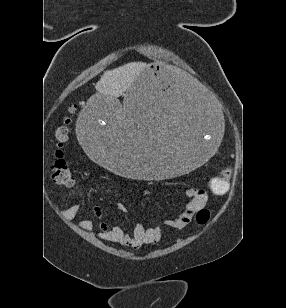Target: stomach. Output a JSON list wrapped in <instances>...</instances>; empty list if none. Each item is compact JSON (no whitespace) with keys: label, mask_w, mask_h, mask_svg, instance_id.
<instances>
[{"label":"stomach","mask_w":286,"mask_h":308,"mask_svg":"<svg viewBox=\"0 0 286 308\" xmlns=\"http://www.w3.org/2000/svg\"><path fill=\"white\" fill-rule=\"evenodd\" d=\"M209 91L182 81L161 60L147 66L127 89L124 103L91 93L78 109V142L86 156L129 182H167L203 168L223 144L224 112Z\"/></svg>","instance_id":"1"}]
</instances>
